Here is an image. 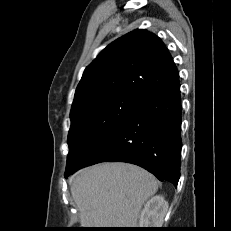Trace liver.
Masks as SVG:
<instances>
[{
	"label": "liver",
	"instance_id": "6515ba94",
	"mask_svg": "<svg viewBox=\"0 0 231 231\" xmlns=\"http://www.w3.org/2000/svg\"><path fill=\"white\" fill-rule=\"evenodd\" d=\"M70 190L85 228H135L145 201L158 190L156 178L127 163H102L76 172Z\"/></svg>",
	"mask_w": 231,
	"mask_h": 231
}]
</instances>
